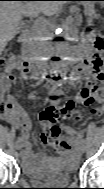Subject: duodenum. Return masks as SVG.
<instances>
[{
    "mask_svg": "<svg viewBox=\"0 0 104 189\" xmlns=\"http://www.w3.org/2000/svg\"><path fill=\"white\" fill-rule=\"evenodd\" d=\"M30 24L31 22L26 23V29L23 32L22 36L20 37L21 47L24 53L25 64L32 71L34 75L39 76L41 75L42 72L39 66L36 65V60H37L36 51L33 48L32 40L28 30ZM75 55L83 59L87 56L85 49L83 47H77L75 49Z\"/></svg>",
    "mask_w": 104,
    "mask_h": 189,
    "instance_id": "410a0bca",
    "label": "duodenum"
}]
</instances>
